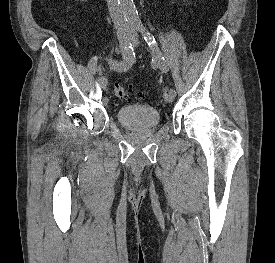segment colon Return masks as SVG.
Segmentation results:
<instances>
[{
  "label": "colon",
  "mask_w": 275,
  "mask_h": 263,
  "mask_svg": "<svg viewBox=\"0 0 275 263\" xmlns=\"http://www.w3.org/2000/svg\"><path fill=\"white\" fill-rule=\"evenodd\" d=\"M114 93L116 97L121 100H129L131 98L130 90L120 85L114 87ZM135 98L138 101H143L146 98V95L143 92H138L135 94Z\"/></svg>",
  "instance_id": "5ec220e1"
}]
</instances>
